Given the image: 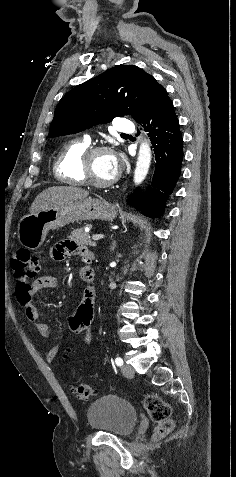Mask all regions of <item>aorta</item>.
Listing matches in <instances>:
<instances>
[{"mask_svg":"<svg viewBox=\"0 0 236 477\" xmlns=\"http://www.w3.org/2000/svg\"><path fill=\"white\" fill-rule=\"evenodd\" d=\"M151 149L147 142H142L139 148L136 168L134 171V183L140 184L146 178L151 164Z\"/></svg>","mask_w":236,"mask_h":477,"instance_id":"aorta-1","label":"aorta"}]
</instances>
